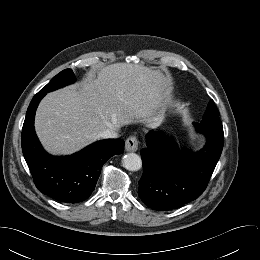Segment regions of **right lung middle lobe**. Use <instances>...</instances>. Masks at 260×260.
<instances>
[{
  "mask_svg": "<svg viewBox=\"0 0 260 260\" xmlns=\"http://www.w3.org/2000/svg\"><path fill=\"white\" fill-rule=\"evenodd\" d=\"M75 76L71 69H65L51 79L39 92H50L74 82Z\"/></svg>",
  "mask_w": 260,
  "mask_h": 260,
  "instance_id": "obj_1",
  "label": "right lung middle lobe"
}]
</instances>
